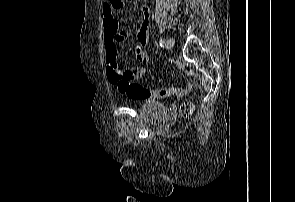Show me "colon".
Listing matches in <instances>:
<instances>
[{"label": "colon", "mask_w": 295, "mask_h": 202, "mask_svg": "<svg viewBox=\"0 0 295 202\" xmlns=\"http://www.w3.org/2000/svg\"><path fill=\"white\" fill-rule=\"evenodd\" d=\"M114 6L118 7L122 4V0H111ZM117 87L121 93L126 94L130 99L141 100L146 98H166L174 95L176 88H162L158 90H150L134 81V77L129 69H122L118 72ZM194 105L190 101L182 103L180 110L182 114L188 115L193 111Z\"/></svg>", "instance_id": "obj_1"}]
</instances>
